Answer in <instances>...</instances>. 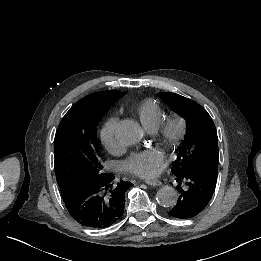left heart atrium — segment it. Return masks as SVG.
Here are the masks:
<instances>
[{"mask_svg":"<svg viewBox=\"0 0 261 261\" xmlns=\"http://www.w3.org/2000/svg\"><path fill=\"white\" fill-rule=\"evenodd\" d=\"M163 165L164 157L155 149L132 152L120 163V167L124 171L143 178L157 176Z\"/></svg>","mask_w":261,"mask_h":261,"instance_id":"39dd6f15","label":"left heart atrium"}]
</instances>
